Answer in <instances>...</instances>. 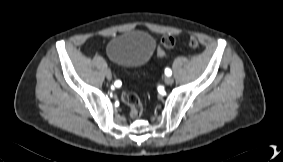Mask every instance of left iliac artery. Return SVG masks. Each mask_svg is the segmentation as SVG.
<instances>
[{"instance_id":"44dca946","label":"left iliac artery","mask_w":283,"mask_h":162,"mask_svg":"<svg viewBox=\"0 0 283 162\" xmlns=\"http://www.w3.org/2000/svg\"><path fill=\"white\" fill-rule=\"evenodd\" d=\"M165 74H166L167 76H171V75H172V71H171L169 68H166V69H165Z\"/></svg>"}]
</instances>
